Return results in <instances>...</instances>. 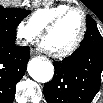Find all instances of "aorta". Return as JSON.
I'll use <instances>...</instances> for the list:
<instances>
[{
	"label": "aorta",
	"instance_id": "762f6f07",
	"mask_svg": "<svg viewBox=\"0 0 103 103\" xmlns=\"http://www.w3.org/2000/svg\"><path fill=\"white\" fill-rule=\"evenodd\" d=\"M27 71L35 81L45 83L52 79L54 67L50 61L34 58L28 63Z\"/></svg>",
	"mask_w": 103,
	"mask_h": 103
}]
</instances>
